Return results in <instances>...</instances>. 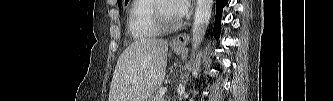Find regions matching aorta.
Masks as SVG:
<instances>
[{
	"mask_svg": "<svg viewBox=\"0 0 333 101\" xmlns=\"http://www.w3.org/2000/svg\"><path fill=\"white\" fill-rule=\"evenodd\" d=\"M212 4L213 0H197L192 29V57H194L195 51L198 49L204 38L211 18Z\"/></svg>",
	"mask_w": 333,
	"mask_h": 101,
	"instance_id": "1",
	"label": "aorta"
}]
</instances>
